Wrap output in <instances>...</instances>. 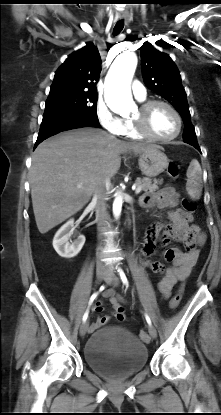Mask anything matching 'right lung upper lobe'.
<instances>
[{
  "instance_id": "1",
  "label": "right lung upper lobe",
  "mask_w": 221,
  "mask_h": 415,
  "mask_svg": "<svg viewBox=\"0 0 221 415\" xmlns=\"http://www.w3.org/2000/svg\"><path fill=\"white\" fill-rule=\"evenodd\" d=\"M101 58L92 43L70 54L55 73L50 93L61 91L97 92Z\"/></svg>"
}]
</instances>
